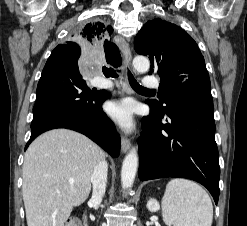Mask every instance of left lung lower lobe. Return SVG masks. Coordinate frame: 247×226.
Masks as SVG:
<instances>
[{
  "label": "left lung lower lobe",
  "instance_id": "obj_1",
  "mask_svg": "<svg viewBox=\"0 0 247 226\" xmlns=\"http://www.w3.org/2000/svg\"><path fill=\"white\" fill-rule=\"evenodd\" d=\"M158 109L150 103L138 140L140 180L183 177L205 186L217 204L219 155L211 88L186 86L165 98ZM167 115V123L161 120Z\"/></svg>",
  "mask_w": 247,
  "mask_h": 226
}]
</instances>
